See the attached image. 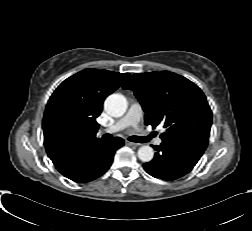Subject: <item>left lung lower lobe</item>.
I'll list each match as a JSON object with an SVG mask.
<instances>
[{"mask_svg":"<svg viewBox=\"0 0 252 231\" xmlns=\"http://www.w3.org/2000/svg\"><path fill=\"white\" fill-rule=\"evenodd\" d=\"M208 141L185 136L172 141L162 140L154 159L145 163L144 169L155 178L175 180L189 173L196 165L207 147Z\"/></svg>","mask_w":252,"mask_h":231,"instance_id":"left-lung-lower-lobe-1","label":"left lung lower lobe"}]
</instances>
